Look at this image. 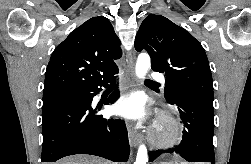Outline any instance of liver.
Masks as SVG:
<instances>
[{"label": "liver", "mask_w": 251, "mask_h": 164, "mask_svg": "<svg viewBox=\"0 0 251 164\" xmlns=\"http://www.w3.org/2000/svg\"><path fill=\"white\" fill-rule=\"evenodd\" d=\"M55 164H109L101 158L87 155L66 157Z\"/></svg>", "instance_id": "1"}]
</instances>
